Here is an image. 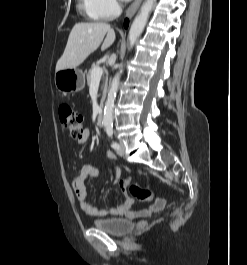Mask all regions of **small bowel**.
Here are the masks:
<instances>
[{
	"instance_id": "1",
	"label": "small bowel",
	"mask_w": 247,
	"mask_h": 265,
	"mask_svg": "<svg viewBox=\"0 0 247 265\" xmlns=\"http://www.w3.org/2000/svg\"><path fill=\"white\" fill-rule=\"evenodd\" d=\"M89 131L84 130V134L81 139H79L80 143H86L89 139ZM106 157L110 159H115V156L112 152L107 151ZM98 170L90 164H86L80 167L79 174L73 182V190L76 194V197L79 202V206L86 214L91 216H107V215H118V216H128L130 218H139V217H148L154 213L160 212L164 206L165 201L163 199H157L154 204H152L149 208L142 209L140 211H131V207L133 205V199L130 197H126L122 204L111 207L108 209H100L92 204H90L87 200V189L86 183L90 179H95L98 177ZM120 178V169L118 167L114 168V183H117ZM122 182V181H121ZM120 182V183H121Z\"/></svg>"
}]
</instances>
